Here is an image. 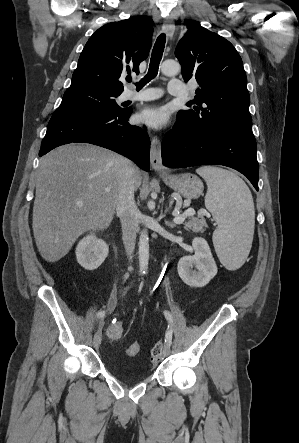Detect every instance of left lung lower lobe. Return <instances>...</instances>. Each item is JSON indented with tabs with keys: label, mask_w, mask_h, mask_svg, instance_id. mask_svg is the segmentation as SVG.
Masks as SVG:
<instances>
[{
	"label": "left lung lower lobe",
	"mask_w": 299,
	"mask_h": 443,
	"mask_svg": "<svg viewBox=\"0 0 299 443\" xmlns=\"http://www.w3.org/2000/svg\"><path fill=\"white\" fill-rule=\"evenodd\" d=\"M256 141L252 131L240 129L199 130L181 120L162 142L163 165L183 168L224 165L244 174L258 190Z\"/></svg>",
	"instance_id": "obj_1"
}]
</instances>
